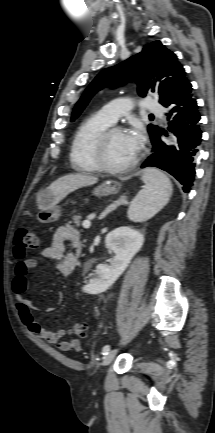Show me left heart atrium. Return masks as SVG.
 I'll list each match as a JSON object with an SVG mask.
<instances>
[{
	"instance_id": "1",
	"label": "left heart atrium",
	"mask_w": 215,
	"mask_h": 433,
	"mask_svg": "<svg viewBox=\"0 0 215 433\" xmlns=\"http://www.w3.org/2000/svg\"><path fill=\"white\" fill-rule=\"evenodd\" d=\"M127 135V139L132 149L137 152L142 145L143 142V134L142 131L138 128L130 131Z\"/></svg>"
}]
</instances>
